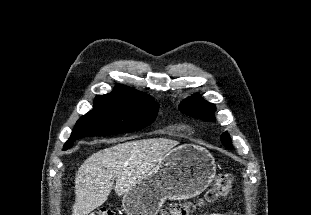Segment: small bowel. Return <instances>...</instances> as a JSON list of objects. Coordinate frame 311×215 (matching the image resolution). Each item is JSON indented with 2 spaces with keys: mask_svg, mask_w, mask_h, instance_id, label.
<instances>
[{
  "mask_svg": "<svg viewBox=\"0 0 311 215\" xmlns=\"http://www.w3.org/2000/svg\"><path fill=\"white\" fill-rule=\"evenodd\" d=\"M203 215H223V214H220V213H208V214H203Z\"/></svg>",
  "mask_w": 311,
  "mask_h": 215,
  "instance_id": "small-bowel-1",
  "label": "small bowel"
}]
</instances>
